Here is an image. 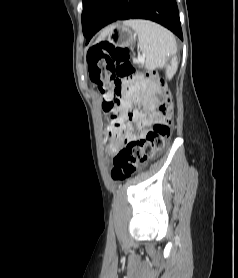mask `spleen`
<instances>
[{
    "instance_id": "3e777b00",
    "label": "spleen",
    "mask_w": 238,
    "mask_h": 278,
    "mask_svg": "<svg viewBox=\"0 0 238 278\" xmlns=\"http://www.w3.org/2000/svg\"><path fill=\"white\" fill-rule=\"evenodd\" d=\"M138 34V46L146 57L147 69L166 68L171 78L177 69V45L174 35L164 27L147 20L134 19L124 22ZM170 64H168V60Z\"/></svg>"
}]
</instances>
